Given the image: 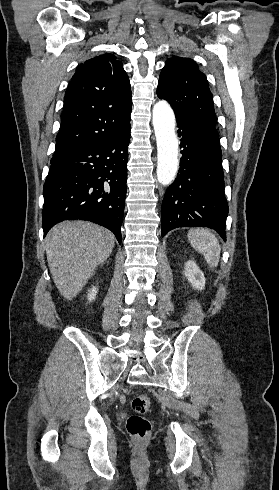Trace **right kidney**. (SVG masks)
<instances>
[{"instance_id": "right-kidney-1", "label": "right kidney", "mask_w": 279, "mask_h": 490, "mask_svg": "<svg viewBox=\"0 0 279 490\" xmlns=\"http://www.w3.org/2000/svg\"><path fill=\"white\" fill-rule=\"evenodd\" d=\"M97 292H98V288H95V286H93V288H91V290H88L87 298H88L89 302H92V300H95V298L97 296Z\"/></svg>"}]
</instances>
